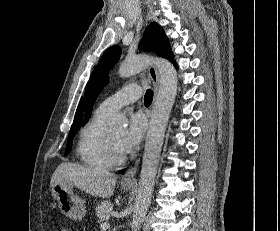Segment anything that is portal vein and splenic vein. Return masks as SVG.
Wrapping results in <instances>:
<instances>
[{
	"instance_id": "obj_1",
	"label": "portal vein and splenic vein",
	"mask_w": 280,
	"mask_h": 231,
	"mask_svg": "<svg viewBox=\"0 0 280 231\" xmlns=\"http://www.w3.org/2000/svg\"><path fill=\"white\" fill-rule=\"evenodd\" d=\"M100 227L101 229H107V227H110V223H101Z\"/></svg>"
}]
</instances>
